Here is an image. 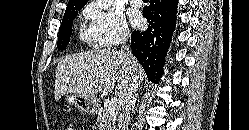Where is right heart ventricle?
Wrapping results in <instances>:
<instances>
[{
  "instance_id": "right-heart-ventricle-1",
  "label": "right heart ventricle",
  "mask_w": 249,
  "mask_h": 130,
  "mask_svg": "<svg viewBox=\"0 0 249 130\" xmlns=\"http://www.w3.org/2000/svg\"><path fill=\"white\" fill-rule=\"evenodd\" d=\"M80 37H81L83 40L91 41L89 32H86V31H84V30L81 31Z\"/></svg>"
}]
</instances>
